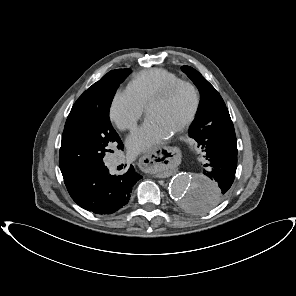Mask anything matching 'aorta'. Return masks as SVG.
I'll use <instances>...</instances> for the list:
<instances>
[{"label": "aorta", "instance_id": "762f6f07", "mask_svg": "<svg viewBox=\"0 0 296 296\" xmlns=\"http://www.w3.org/2000/svg\"><path fill=\"white\" fill-rule=\"evenodd\" d=\"M217 184L203 175H175L169 184L170 197L187 214L198 215L210 210L216 202Z\"/></svg>", "mask_w": 296, "mask_h": 296}]
</instances>
